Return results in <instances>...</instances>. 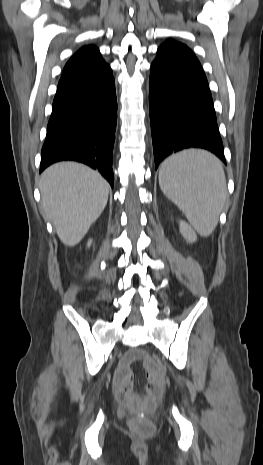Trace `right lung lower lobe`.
Returning a JSON list of instances; mask_svg holds the SVG:
<instances>
[{
    "mask_svg": "<svg viewBox=\"0 0 263 465\" xmlns=\"http://www.w3.org/2000/svg\"><path fill=\"white\" fill-rule=\"evenodd\" d=\"M116 123L115 82L109 65L61 78L41 152L40 172L54 162L74 160L98 170L113 187Z\"/></svg>",
    "mask_w": 263,
    "mask_h": 465,
    "instance_id": "obj_1",
    "label": "right lung lower lobe"
}]
</instances>
